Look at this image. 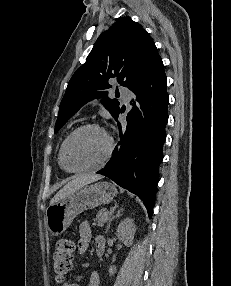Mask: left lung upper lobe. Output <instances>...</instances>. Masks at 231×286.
Segmentation results:
<instances>
[{"label": "left lung upper lobe", "instance_id": "5c2ea615", "mask_svg": "<svg viewBox=\"0 0 231 286\" xmlns=\"http://www.w3.org/2000/svg\"><path fill=\"white\" fill-rule=\"evenodd\" d=\"M157 48L147 31L130 17L118 18L109 30L97 39L86 62L70 79L59 108L55 133L86 102L102 98L101 102L115 118L119 102L109 99L108 80L129 87L159 59Z\"/></svg>", "mask_w": 231, "mask_h": 286}]
</instances>
